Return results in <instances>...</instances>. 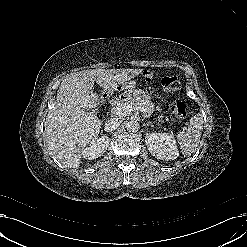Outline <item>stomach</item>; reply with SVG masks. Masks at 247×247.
I'll use <instances>...</instances> for the list:
<instances>
[{"label":"stomach","instance_id":"1","mask_svg":"<svg viewBox=\"0 0 247 247\" xmlns=\"http://www.w3.org/2000/svg\"><path fill=\"white\" fill-rule=\"evenodd\" d=\"M117 88L121 89V90H125V92L123 93V96L126 98L134 95L136 92L134 81L125 82V83L119 85Z\"/></svg>","mask_w":247,"mask_h":247}]
</instances>
